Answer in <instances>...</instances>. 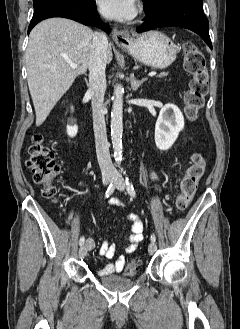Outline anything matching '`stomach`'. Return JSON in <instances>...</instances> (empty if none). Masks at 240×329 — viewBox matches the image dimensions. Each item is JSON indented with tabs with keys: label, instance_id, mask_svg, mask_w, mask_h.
Segmentation results:
<instances>
[{
	"label": "stomach",
	"instance_id": "0dacf381",
	"mask_svg": "<svg viewBox=\"0 0 240 329\" xmlns=\"http://www.w3.org/2000/svg\"><path fill=\"white\" fill-rule=\"evenodd\" d=\"M122 49L137 61L163 69L168 67L177 56V48L169 37L158 31H149L133 39Z\"/></svg>",
	"mask_w": 240,
	"mask_h": 329
}]
</instances>
